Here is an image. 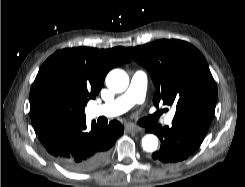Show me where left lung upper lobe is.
<instances>
[{"label":"left lung upper lobe","instance_id":"left-lung-upper-lobe-1","mask_svg":"<svg viewBox=\"0 0 245 187\" xmlns=\"http://www.w3.org/2000/svg\"><path fill=\"white\" fill-rule=\"evenodd\" d=\"M150 73L156 107H176L173 122H206L213 117L217 87L203 55L181 40H159L128 49ZM167 110V108H165Z\"/></svg>","mask_w":245,"mask_h":187}]
</instances>
